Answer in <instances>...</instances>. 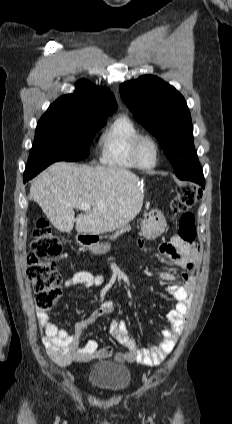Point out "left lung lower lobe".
Segmentation results:
<instances>
[{"label":"left lung lower lobe","mask_w":232,"mask_h":424,"mask_svg":"<svg viewBox=\"0 0 232 424\" xmlns=\"http://www.w3.org/2000/svg\"><path fill=\"white\" fill-rule=\"evenodd\" d=\"M183 180H191L195 183H198L203 188L205 187V180H204V176H203V172H202L201 168L194 171L192 174L186 176Z\"/></svg>","instance_id":"1"}]
</instances>
